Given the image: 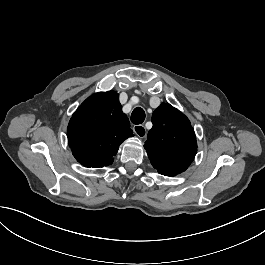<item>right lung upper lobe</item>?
I'll return each instance as SVG.
<instances>
[{
	"label": "right lung upper lobe",
	"mask_w": 265,
	"mask_h": 265,
	"mask_svg": "<svg viewBox=\"0 0 265 265\" xmlns=\"http://www.w3.org/2000/svg\"><path fill=\"white\" fill-rule=\"evenodd\" d=\"M133 136L115 91L99 92L75 111L67 128L68 143L76 160L85 167L113 163L120 144Z\"/></svg>",
	"instance_id": "obj_1"
}]
</instances>
